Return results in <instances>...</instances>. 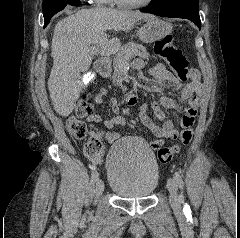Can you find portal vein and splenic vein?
<instances>
[{
	"label": "portal vein and splenic vein",
	"mask_w": 240,
	"mask_h": 238,
	"mask_svg": "<svg viewBox=\"0 0 240 238\" xmlns=\"http://www.w3.org/2000/svg\"><path fill=\"white\" fill-rule=\"evenodd\" d=\"M90 52L92 55H95L97 53H100L101 55H110V54H115L116 52L113 49H110L108 51H101L98 47L94 46L90 48ZM133 51H130L126 54V59L129 60L133 56Z\"/></svg>",
	"instance_id": "1"
}]
</instances>
